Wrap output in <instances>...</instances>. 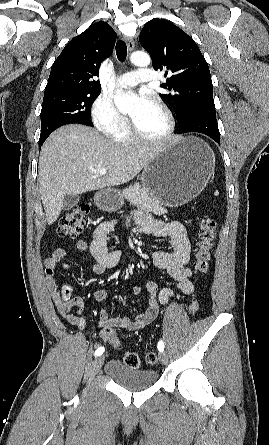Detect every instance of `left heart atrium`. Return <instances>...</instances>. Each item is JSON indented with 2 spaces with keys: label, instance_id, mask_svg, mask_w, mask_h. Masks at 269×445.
I'll return each instance as SVG.
<instances>
[{
  "label": "left heart atrium",
  "instance_id": "left-heart-atrium-1",
  "mask_svg": "<svg viewBox=\"0 0 269 445\" xmlns=\"http://www.w3.org/2000/svg\"><path fill=\"white\" fill-rule=\"evenodd\" d=\"M152 104L151 99L145 93H141L138 96L137 107L139 110H144Z\"/></svg>",
  "mask_w": 269,
  "mask_h": 445
}]
</instances>
